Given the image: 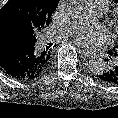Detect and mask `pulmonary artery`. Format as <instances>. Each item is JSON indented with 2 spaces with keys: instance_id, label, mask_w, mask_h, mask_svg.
Listing matches in <instances>:
<instances>
[{
  "instance_id": "obj_1",
  "label": "pulmonary artery",
  "mask_w": 118,
  "mask_h": 118,
  "mask_svg": "<svg viewBox=\"0 0 118 118\" xmlns=\"http://www.w3.org/2000/svg\"><path fill=\"white\" fill-rule=\"evenodd\" d=\"M107 6L103 0H88L86 3V9L84 13V18H94L102 15ZM75 28V24L66 27L62 33L66 34L67 32L71 31Z\"/></svg>"
}]
</instances>
